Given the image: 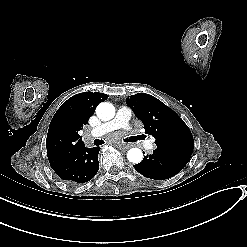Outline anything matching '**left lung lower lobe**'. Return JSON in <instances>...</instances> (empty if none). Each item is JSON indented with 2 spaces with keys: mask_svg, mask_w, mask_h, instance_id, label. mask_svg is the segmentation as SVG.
<instances>
[{
  "mask_svg": "<svg viewBox=\"0 0 247 247\" xmlns=\"http://www.w3.org/2000/svg\"><path fill=\"white\" fill-rule=\"evenodd\" d=\"M189 160L161 149H155L150 156H144L139 164L133 167L143 176L164 180L180 172Z\"/></svg>",
  "mask_w": 247,
  "mask_h": 247,
  "instance_id": "obj_1",
  "label": "left lung lower lobe"
}]
</instances>
